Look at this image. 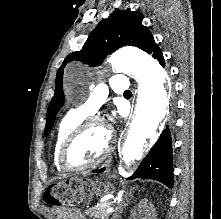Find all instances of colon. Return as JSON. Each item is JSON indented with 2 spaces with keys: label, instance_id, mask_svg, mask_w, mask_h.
<instances>
[{
  "label": "colon",
  "instance_id": "obj_1",
  "mask_svg": "<svg viewBox=\"0 0 221 219\" xmlns=\"http://www.w3.org/2000/svg\"><path fill=\"white\" fill-rule=\"evenodd\" d=\"M67 194L70 193H68L62 186L55 185L48 190L46 198L50 199V203L53 206L67 208L71 205L72 201V199H67Z\"/></svg>",
  "mask_w": 221,
  "mask_h": 219
}]
</instances>
